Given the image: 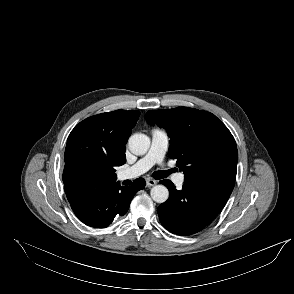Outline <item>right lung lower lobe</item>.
I'll use <instances>...</instances> for the list:
<instances>
[{"instance_id":"1","label":"right lung lower lobe","mask_w":294,"mask_h":294,"mask_svg":"<svg viewBox=\"0 0 294 294\" xmlns=\"http://www.w3.org/2000/svg\"><path fill=\"white\" fill-rule=\"evenodd\" d=\"M145 187V180L138 178L132 186H120L113 182L92 190H86L84 185L67 189L65 193L75 215L86 225L97 228L109 226L114 218L123 216L129 209L134 195ZM82 195L79 198L69 195ZM84 194V195H83Z\"/></svg>"}]
</instances>
